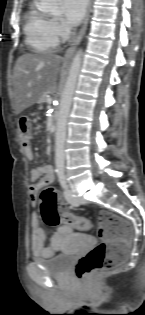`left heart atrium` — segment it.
Instances as JSON below:
<instances>
[{"instance_id": "39dd6f15", "label": "left heart atrium", "mask_w": 145, "mask_h": 315, "mask_svg": "<svg viewBox=\"0 0 145 315\" xmlns=\"http://www.w3.org/2000/svg\"><path fill=\"white\" fill-rule=\"evenodd\" d=\"M88 0H61L64 19L67 24H79L85 14Z\"/></svg>"}]
</instances>
